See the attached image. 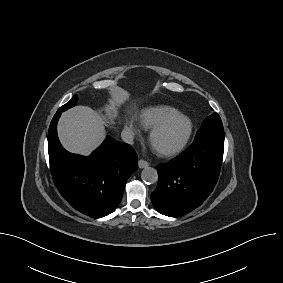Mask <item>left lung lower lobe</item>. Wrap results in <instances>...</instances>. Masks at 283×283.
<instances>
[{
	"mask_svg": "<svg viewBox=\"0 0 283 283\" xmlns=\"http://www.w3.org/2000/svg\"><path fill=\"white\" fill-rule=\"evenodd\" d=\"M223 152V140L199 137L177 158L159 165L157 188L151 193L155 209L179 217L199 207L218 181Z\"/></svg>",
	"mask_w": 283,
	"mask_h": 283,
	"instance_id": "left-lung-lower-lobe-1",
	"label": "left lung lower lobe"
}]
</instances>
